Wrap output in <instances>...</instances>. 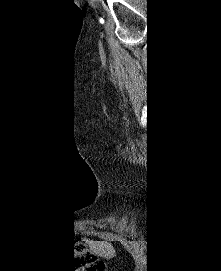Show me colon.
<instances>
[{"instance_id":"colon-1","label":"colon","mask_w":221,"mask_h":271,"mask_svg":"<svg viewBox=\"0 0 221 271\" xmlns=\"http://www.w3.org/2000/svg\"><path fill=\"white\" fill-rule=\"evenodd\" d=\"M75 262L78 271H106L105 264L101 261H97L95 255L86 252L84 247H82L80 252L75 255Z\"/></svg>"}]
</instances>
